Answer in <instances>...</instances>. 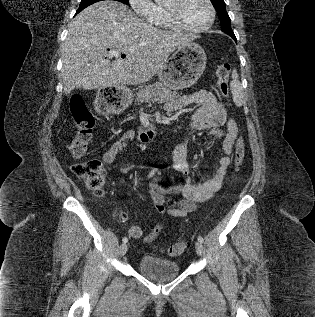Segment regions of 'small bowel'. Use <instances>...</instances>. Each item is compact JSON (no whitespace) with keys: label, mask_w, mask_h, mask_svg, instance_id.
<instances>
[{"label":"small bowel","mask_w":315,"mask_h":317,"mask_svg":"<svg viewBox=\"0 0 315 317\" xmlns=\"http://www.w3.org/2000/svg\"><path fill=\"white\" fill-rule=\"evenodd\" d=\"M190 105L197 108L190 114L189 131L207 130L211 136L222 139V150L224 155L219 160L216 171L201 182L191 179L192 165L187 160V144L185 140L180 141L173 152V169L181 173L184 179L181 183L169 187L162 186L158 179L149 182V195L151 196L155 210L160 215L172 217H185L195 211L200 203L210 200L222 187L228 168L231 163L230 155L238 136V126L232 118H228L224 105L218 101L216 96L206 90H198L189 95L173 99L167 103L168 111H177ZM225 127V128H224ZM135 132L128 130L124 132L103 154L102 162L110 165L126 150L128 144L133 140ZM128 166L121 167V172H127ZM168 195H181L182 199L174 200ZM164 225H157L150 234L143 237V231L137 224L129 227V235L134 239L143 237L145 243H150L162 232Z\"/></svg>","instance_id":"small-bowel-1"}]
</instances>
